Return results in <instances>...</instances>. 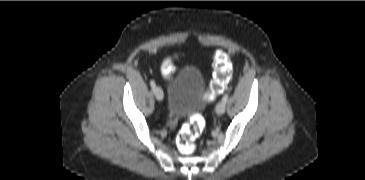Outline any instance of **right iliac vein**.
<instances>
[{"mask_svg":"<svg viewBox=\"0 0 365 180\" xmlns=\"http://www.w3.org/2000/svg\"><path fill=\"white\" fill-rule=\"evenodd\" d=\"M153 91H154V94H155L156 99H157L158 101H162V100H163V98H164V94H163L162 89H161L160 87H155V88L153 89Z\"/></svg>","mask_w":365,"mask_h":180,"instance_id":"1","label":"right iliac vein"}]
</instances>
